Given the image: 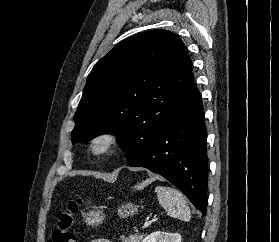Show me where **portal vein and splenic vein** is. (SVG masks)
Instances as JSON below:
<instances>
[{
    "mask_svg": "<svg viewBox=\"0 0 279 242\" xmlns=\"http://www.w3.org/2000/svg\"><path fill=\"white\" fill-rule=\"evenodd\" d=\"M147 227H142V229H146Z\"/></svg>",
    "mask_w": 279,
    "mask_h": 242,
    "instance_id": "18ae733b",
    "label": "portal vein and splenic vein"
}]
</instances>
